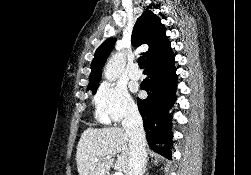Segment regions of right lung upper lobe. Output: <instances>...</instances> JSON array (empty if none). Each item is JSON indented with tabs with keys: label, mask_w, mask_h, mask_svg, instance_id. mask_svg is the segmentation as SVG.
Segmentation results:
<instances>
[{
	"label": "right lung upper lobe",
	"mask_w": 251,
	"mask_h": 175,
	"mask_svg": "<svg viewBox=\"0 0 251 175\" xmlns=\"http://www.w3.org/2000/svg\"><path fill=\"white\" fill-rule=\"evenodd\" d=\"M165 33L166 29L161 23L160 18L152 11L146 10L137 19L133 28L131 43L136 47L142 44L149 46L148 51L145 53L147 65L157 64L173 54ZM115 42L116 39L114 38L108 39L97 48L91 64V74L87 89L98 87L103 65L112 51Z\"/></svg>",
	"instance_id": "1"
}]
</instances>
